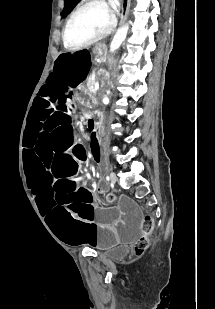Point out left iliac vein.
Listing matches in <instances>:
<instances>
[{"label": "left iliac vein", "mask_w": 215, "mask_h": 309, "mask_svg": "<svg viewBox=\"0 0 215 309\" xmlns=\"http://www.w3.org/2000/svg\"><path fill=\"white\" fill-rule=\"evenodd\" d=\"M117 180L116 174L114 172L110 173V181L112 184H115Z\"/></svg>", "instance_id": "1"}]
</instances>
